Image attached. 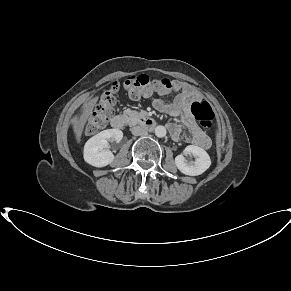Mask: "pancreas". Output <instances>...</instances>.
Wrapping results in <instances>:
<instances>
[{
    "label": "pancreas",
    "mask_w": 291,
    "mask_h": 291,
    "mask_svg": "<svg viewBox=\"0 0 291 291\" xmlns=\"http://www.w3.org/2000/svg\"><path fill=\"white\" fill-rule=\"evenodd\" d=\"M123 115L126 116L129 120V124L130 125H135L139 122V120L147 115L146 111H135V110H131V109H126L123 112Z\"/></svg>",
    "instance_id": "obj_1"
}]
</instances>
